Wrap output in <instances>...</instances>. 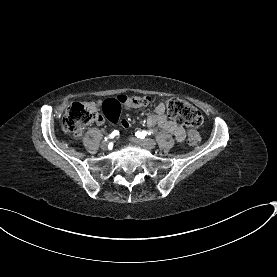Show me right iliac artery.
Here are the masks:
<instances>
[{"mask_svg":"<svg viewBox=\"0 0 277 277\" xmlns=\"http://www.w3.org/2000/svg\"><path fill=\"white\" fill-rule=\"evenodd\" d=\"M118 135H119V131L115 130L109 135V137H105V141H107L109 138H114L115 136H118Z\"/></svg>","mask_w":277,"mask_h":277,"instance_id":"right-iliac-artery-1","label":"right iliac artery"}]
</instances>
